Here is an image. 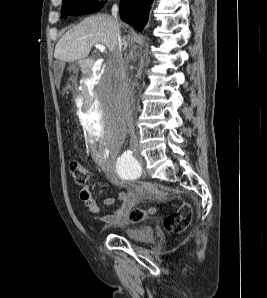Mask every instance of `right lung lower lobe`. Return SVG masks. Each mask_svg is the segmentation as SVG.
I'll list each match as a JSON object with an SVG mask.
<instances>
[{
    "label": "right lung lower lobe",
    "mask_w": 267,
    "mask_h": 298,
    "mask_svg": "<svg viewBox=\"0 0 267 298\" xmlns=\"http://www.w3.org/2000/svg\"><path fill=\"white\" fill-rule=\"evenodd\" d=\"M152 0H121V19L141 31L146 25Z\"/></svg>",
    "instance_id": "right-lung-lower-lobe-1"
}]
</instances>
